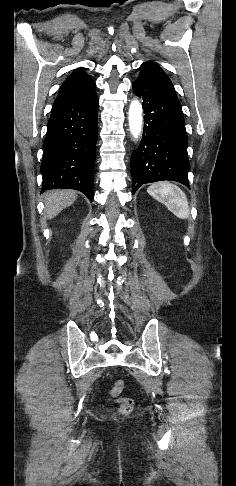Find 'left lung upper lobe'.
<instances>
[{"instance_id":"obj_1","label":"left lung upper lobe","mask_w":236,"mask_h":486,"mask_svg":"<svg viewBox=\"0 0 236 486\" xmlns=\"http://www.w3.org/2000/svg\"><path fill=\"white\" fill-rule=\"evenodd\" d=\"M138 78H142L157 86L158 88L166 91L173 96L177 97L175 89L169 77L161 69V67L152 61L144 62L141 65V74Z\"/></svg>"}]
</instances>
